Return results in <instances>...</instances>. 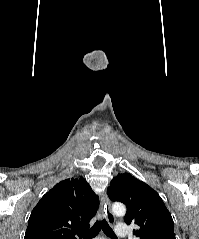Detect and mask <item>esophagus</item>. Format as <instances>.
<instances>
[{
	"mask_svg": "<svg viewBox=\"0 0 199 239\" xmlns=\"http://www.w3.org/2000/svg\"><path fill=\"white\" fill-rule=\"evenodd\" d=\"M100 206H101V209H103V211H104V214H105V217H106L107 221L110 224H114L115 216H114V214L111 211L110 201H109L106 193H103L101 195Z\"/></svg>",
	"mask_w": 199,
	"mask_h": 239,
	"instance_id": "esophagus-1",
	"label": "esophagus"
}]
</instances>
